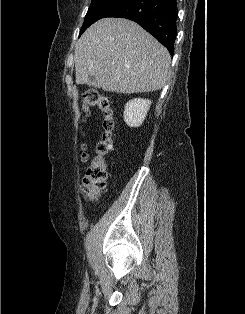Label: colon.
<instances>
[{"label":"colon","mask_w":245,"mask_h":314,"mask_svg":"<svg viewBox=\"0 0 245 314\" xmlns=\"http://www.w3.org/2000/svg\"><path fill=\"white\" fill-rule=\"evenodd\" d=\"M90 108H97L101 112L103 132L96 144L95 156L89 159L86 153L82 154V160L88 162V165L83 177L81 192L87 201L95 202L106 185V160L112 150V133L115 123L112 102L109 96L101 94L95 89L87 90L82 101L84 116L89 114Z\"/></svg>","instance_id":"1"}]
</instances>
